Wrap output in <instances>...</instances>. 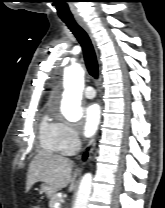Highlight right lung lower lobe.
Here are the masks:
<instances>
[{"mask_svg":"<svg viewBox=\"0 0 165 208\" xmlns=\"http://www.w3.org/2000/svg\"><path fill=\"white\" fill-rule=\"evenodd\" d=\"M87 156H88V154H87V153H85L83 158H84V159H86V158H87Z\"/></svg>","mask_w":165,"mask_h":208,"instance_id":"1","label":"right lung lower lobe"}]
</instances>
